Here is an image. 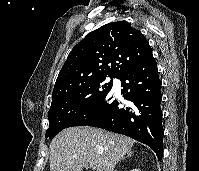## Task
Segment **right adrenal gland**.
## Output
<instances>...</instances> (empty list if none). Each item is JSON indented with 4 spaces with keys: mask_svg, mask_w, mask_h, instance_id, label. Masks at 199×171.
Here are the masks:
<instances>
[{
    "mask_svg": "<svg viewBox=\"0 0 199 171\" xmlns=\"http://www.w3.org/2000/svg\"><path fill=\"white\" fill-rule=\"evenodd\" d=\"M132 155V151L130 150L128 153H127V156L126 157H123L122 160H125L127 157H130Z\"/></svg>",
    "mask_w": 199,
    "mask_h": 171,
    "instance_id": "2a0ac1e0",
    "label": "right adrenal gland"
}]
</instances>
